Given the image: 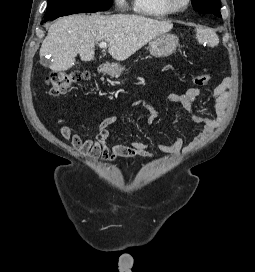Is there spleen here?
I'll return each mask as SVG.
<instances>
[{"label": "spleen", "instance_id": "obj_1", "mask_svg": "<svg viewBox=\"0 0 255 272\" xmlns=\"http://www.w3.org/2000/svg\"><path fill=\"white\" fill-rule=\"evenodd\" d=\"M196 38L199 41V43L206 42L210 47H214L218 45L219 38L215 31L209 28H196ZM200 35V36H199Z\"/></svg>", "mask_w": 255, "mask_h": 272}]
</instances>
